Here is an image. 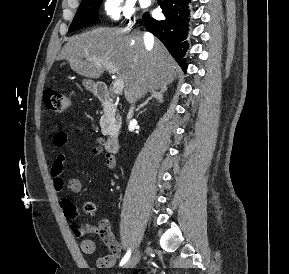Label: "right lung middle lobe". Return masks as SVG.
Masks as SVG:
<instances>
[{
    "mask_svg": "<svg viewBox=\"0 0 289 274\" xmlns=\"http://www.w3.org/2000/svg\"><path fill=\"white\" fill-rule=\"evenodd\" d=\"M102 1L103 0H82L69 27V32L75 31L83 26L98 23V10Z\"/></svg>",
    "mask_w": 289,
    "mask_h": 274,
    "instance_id": "dd1d6c3e",
    "label": "right lung middle lobe"
}]
</instances>
